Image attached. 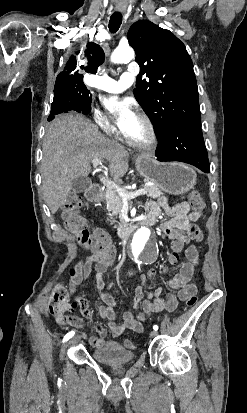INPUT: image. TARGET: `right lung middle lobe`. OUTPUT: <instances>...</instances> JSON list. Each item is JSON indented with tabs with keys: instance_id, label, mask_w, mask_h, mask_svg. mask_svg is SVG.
<instances>
[{
	"instance_id": "right-lung-middle-lobe-1",
	"label": "right lung middle lobe",
	"mask_w": 247,
	"mask_h": 413,
	"mask_svg": "<svg viewBox=\"0 0 247 413\" xmlns=\"http://www.w3.org/2000/svg\"><path fill=\"white\" fill-rule=\"evenodd\" d=\"M90 91L83 81L55 83L54 98L72 96L84 101H91Z\"/></svg>"
}]
</instances>
